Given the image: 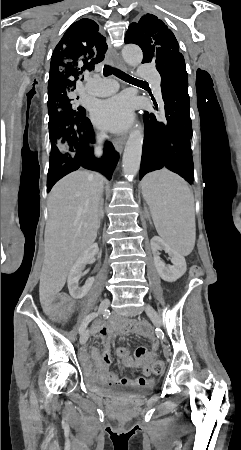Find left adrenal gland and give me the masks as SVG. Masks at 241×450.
I'll list each match as a JSON object with an SVG mask.
<instances>
[{"label":"left adrenal gland","mask_w":241,"mask_h":450,"mask_svg":"<svg viewBox=\"0 0 241 450\" xmlns=\"http://www.w3.org/2000/svg\"><path fill=\"white\" fill-rule=\"evenodd\" d=\"M147 218H149V216H147ZM150 224H152L151 220H149Z\"/></svg>","instance_id":"1"}]
</instances>
